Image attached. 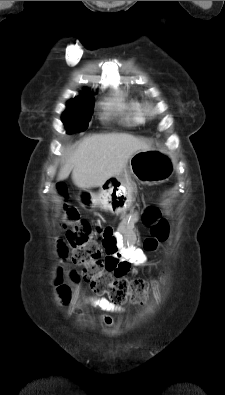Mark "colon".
Returning <instances> with one entry per match:
<instances>
[{"label":"colon","mask_w":225,"mask_h":395,"mask_svg":"<svg viewBox=\"0 0 225 395\" xmlns=\"http://www.w3.org/2000/svg\"><path fill=\"white\" fill-rule=\"evenodd\" d=\"M59 192L65 196V187L60 185ZM143 220L151 226V235L144 241V248L153 251L167 239L168 225L166 221L159 218L158 212L153 208L146 210ZM62 224L67 228L66 240L70 247V258L74 264L83 267L80 279L88 283L95 293L107 295L109 301L115 305L128 301L142 304L146 300L152 285L144 280L130 282L115 276L109 270V265L113 261L107 256L101 259V249L93 238V230L87 221L80 218L75 207L64 204ZM57 282L61 300L68 301L70 291L62 284L61 276L58 277Z\"/></svg>","instance_id":"1"}]
</instances>
